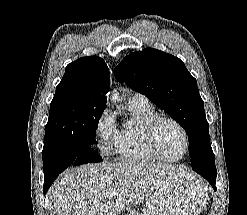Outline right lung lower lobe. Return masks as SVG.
<instances>
[{
    "label": "right lung lower lobe",
    "mask_w": 247,
    "mask_h": 215,
    "mask_svg": "<svg viewBox=\"0 0 247 215\" xmlns=\"http://www.w3.org/2000/svg\"><path fill=\"white\" fill-rule=\"evenodd\" d=\"M44 169V194L59 173L70 165L101 162L102 158L89 145L66 141L55 144L49 151L42 152Z\"/></svg>",
    "instance_id": "right-lung-lower-lobe-1"
}]
</instances>
